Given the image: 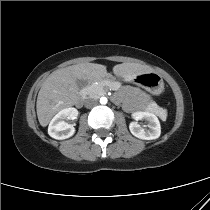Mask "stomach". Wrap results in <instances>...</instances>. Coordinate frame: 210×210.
<instances>
[{"mask_svg":"<svg viewBox=\"0 0 210 210\" xmlns=\"http://www.w3.org/2000/svg\"><path fill=\"white\" fill-rule=\"evenodd\" d=\"M129 82H132L139 87L145 89L153 95H159L164 90V82L162 77L156 72H147L125 77Z\"/></svg>","mask_w":210,"mask_h":210,"instance_id":"1","label":"stomach"}]
</instances>
